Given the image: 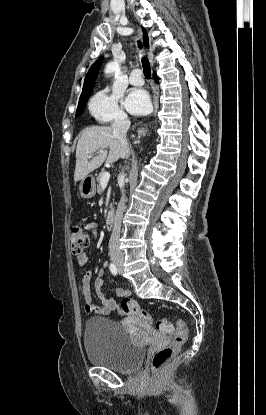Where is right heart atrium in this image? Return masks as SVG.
<instances>
[{"label":"right heart atrium","mask_w":266,"mask_h":415,"mask_svg":"<svg viewBox=\"0 0 266 415\" xmlns=\"http://www.w3.org/2000/svg\"><path fill=\"white\" fill-rule=\"evenodd\" d=\"M91 116L100 123L126 119L127 115L120 105V97L108 88L98 91L88 103Z\"/></svg>","instance_id":"obj_1"}]
</instances>
